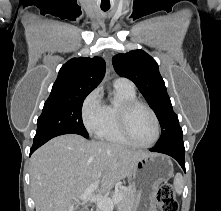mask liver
<instances>
[{"label": "liver", "mask_w": 221, "mask_h": 211, "mask_svg": "<svg viewBox=\"0 0 221 211\" xmlns=\"http://www.w3.org/2000/svg\"><path fill=\"white\" fill-rule=\"evenodd\" d=\"M149 154L75 134L53 138L30 159L36 211H76L80 205L76 198L89 186L99 180L97 190L106 193Z\"/></svg>", "instance_id": "1"}]
</instances>
